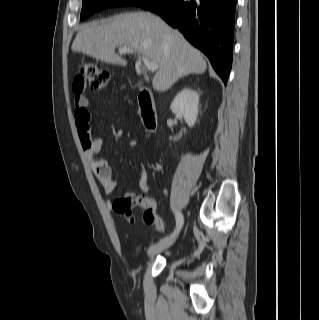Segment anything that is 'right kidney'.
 <instances>
[{"mask_svg":"<svg viewBox=\"0 0 319 320\" xmlns=\"http://www.w3.org/2000/svg\"><path fill=\"white\" fill-rule=\"evenodd\" d=\"M199 95L190 88L181 90L171 103V111L183 116L187 125L193 127L198 116Z\"/></svg>","mask_w":319,"mask_h":320,"instance_id":"ca27d5eb","label":"right kidney"}]
</instances>
